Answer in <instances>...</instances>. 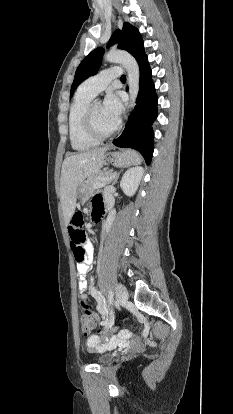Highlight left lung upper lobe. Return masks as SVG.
I'll use <instances>...</instances> for the list:
<instances>
[{
  "mask_svg": "<svg viewBox=\"0 0 233 414\" xmlns=\"http://www.w3.org/2000/svg\"><path fill=\"white\" fill-rule=\"evenodd\" d=\"M115 43H119V49L127 50L133 55L138 63L146 57L141 35L139 31L129 23H124L122 31L116 30L113 33L108 46ZM103 51L102 48H97L89 53L81 62L76 70L74 81L71 86L70 98L80 83L97 73L102 60Z\"/></svg>",
  "mask_w": 233,
  "mask_h": 414,
  "instance_id": "5c2ea615",
  "label": "left lung upper lobe"
}]
</instances>
